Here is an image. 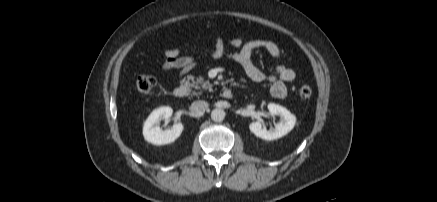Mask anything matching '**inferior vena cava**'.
<instances>
[{"mask_svg":"<svg viewBox=\"0 0 437 202\" xmlns=\"http://www.w3.org/2000/svg\"><path fill=\"white\" fill-rule=\"evenodd\" d=\"M209 104L206 101H194L191 104V112L194 116H202L208 109Z\"/></svg>","mask_w":437,"mask_h":202,"instance_id":"inferior-vena-cava-1","label":"inferior vena cava"}]
</instances>
